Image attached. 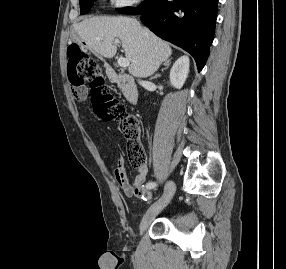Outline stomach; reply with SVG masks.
<instances>
[{"label":"stomach","instance_id":"obj_1","mask_svg":"<svg viewBox=\"0 0 286 269\" xmlns=\"http://www.w3.org/2000/svg\"><path fill=\"white\" fill-rule=\"evenodd\" d=\"M72 40L77 42L78 44H82V41L79 38L72 37Z\"/></svg>","mask_w":286,"mask_h":269}]
</instances>
